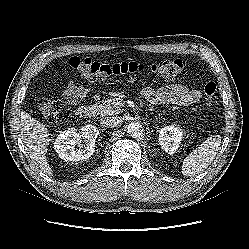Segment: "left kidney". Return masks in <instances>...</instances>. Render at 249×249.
Wrapping results in <instances>:
<instances>
[{"label": "left kidney", "mask_w": 249, "mask_h": 249, "mask_svg": "<svg viewBox=\"0 0 249 249\" xmlns=\"http://www.w3.org/2000/svg\"><path fill=\"white\" fill-rule=\"evenodd\" d=\"M181 140L182 131L174 125L163 128L159 133L160 146L170 155L176 153Z\"/></svg>", "instance_id": "5707ae66"}]
</instances>
